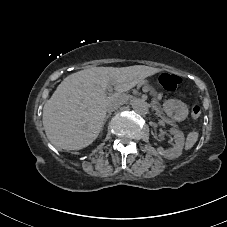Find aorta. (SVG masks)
Masks as SVG:
<instances>
[{
    "mask_svg": "<svg viewBox=\"0 0 227 227\" xmlns=\"http://www.w3.org/2000/svg\"><path fill=\"white\" fill-rule=\"evenodd\" d=\"M131 105L137 114L144 115L149 111V104L143 99H135Z\"/></svg>",
    "mask_w": 227,
    "mask_h": 227,
    "instance_id": "1",
    "label": "aorta"
}]
</instances>
